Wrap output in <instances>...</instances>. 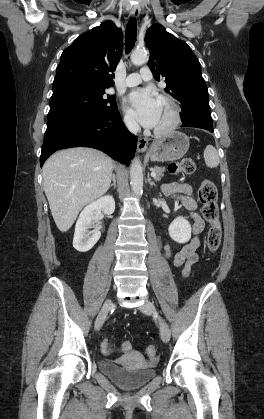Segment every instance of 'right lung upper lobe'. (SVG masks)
I'll list each match as a JSON object with an SVG mask.
<instances>
[{"label":"right lung upper lobe","mask_w":264,"mask_h":419,"mask_svg":"<svg viewBox=\"0 0 264 419\" xmlns=\"http://www.w3.org/2000/svg\"><path fill=\"white\" fill-rule=\"evenodd\" d=\"M123 35L111 21L83 33L66 48L57 66L53 92L69 86L107 89L121 58Z\"/></svg>","instance_id":"right-lung-upper-lobe-1"}]
</instances>
